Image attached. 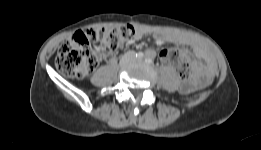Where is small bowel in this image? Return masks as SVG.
<instances>
[{"label":"small bowel","mask_w":261,"mask_h":150,"mask_svg":"<svg viewBox=\"0 0 261 150\" xmlns=\"http://www.w3.org/2000/svg\"><path fill=\"white\" fill-rule=\"evenodd\" d=\"M147 33L148 31L146 29L137 28L133 37V41L140 40ZM153 38L157 43H173L190 47L196 58L200 60V62H195L193 64L194 77L186 84L187 89L195 86L199 81L208 78L214 72L215 63L211 54L205 45L197 39L190 36H170L162 33H154ZM146 54L150 57H156L158 55L160 59L165 62V59L160 54V52L156 53L154 50L149 49L146 51Z\"/></svg>","instance_id":"c3829d8e"}]
</instances>
